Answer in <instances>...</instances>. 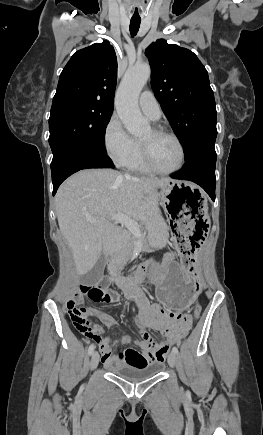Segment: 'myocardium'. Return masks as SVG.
Returning <instances> with one entry per match:
<instances>
[{"label":"myocardium","instance_id":"myocardium-1","mask_svg":"<svg viewBox=\"0 0 263 435\" xmlns=\"http://www.w3.org/2000/svg\"><path fill=\"white\" fill-rule=\"evenodd\" d=\"M152 131L157 136H167V137L172 138L177 143V145L180 149L181 160H180L179 165L176 168L171 169V170H161L158 167H156V165L154 164L149 147L145 143L141 142L144 162H145L147 168L151 172H153L155 174H159V175H169V174H173V173L181 170L186 162V150H185L184 144L181 141V139L175 133H173L167 129L161 128V127H155L152 129Z\"/></svg>","mask_w":263,"mask_h":435}]
</instances>
